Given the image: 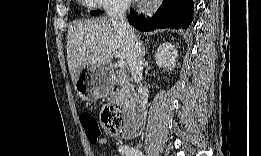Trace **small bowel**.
Segmentation results:
<instances>
[{"mask_svg": "<svg viewBox=\"0 0 261 156\" xmlns=\"http://www.w3.org/2000/svg\"><path fill=\"white\" fill-rule=\"evenodd\" d=\"M106 143H107L106 138H99L97 141V144H99V145H105Z\"/></svg>", "mask_w": 261, "mask_h": 156, "instance_id": "1", "label": "small bowel"}]
</instances>
